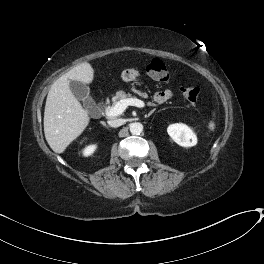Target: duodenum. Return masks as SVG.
<instances>
[{
  "instance_id": "duodenum-1",
  "label": "duodenum",
  "mask_w": 264,
  "mask_h": 264,
  "mask_svg": "<svg viewBox=\"0 0 264 264\" xmlns=\"http://www.w3.org/2000/svg\"><path fill=\"white\" fill-rule=\"evenodd\" d=\"M96 106H97V108H98L100 111H102L103 108H104V103H103L102 101H100V100H97V101H96Z\"/></svg>"
}]
</instances>
